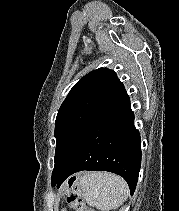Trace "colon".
<instances>
[{"label": "colon", "mask_w": 179, "mask_h": 211, "mask_svg": "<svg viewBox=\"0 0 179 211\" xmlns=\"http://www.w3.org/2000/svg\"><path fill=\"white\" fill-rule=\"evenodd\" d=\"M67 202L77 211H94L86 206L82 199V190L76 178H71L68 182Z\"/></svg>", "instance_id": "obj_1"}]
</instances>
